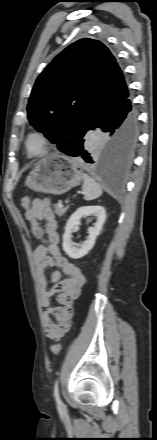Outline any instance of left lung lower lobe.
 <instances>
[{
	"label": "left lung lower lobe",
	"mask_w": 157,
	"mask_h": 440,
	"mask_svg": "<svg viewBox=\"0 0 157 440\" xmlns=\"http://www.w3.org/2000/svg\"><path fill=\"white\" fill-rule=\"evenodd\" d=\"M91 130L104 133L105 141L98 151H93L86 139L82 138L64 153L78 157L92 171L122 177L131 165L132 150L138 135V114L130 93L106 108Z\"/></svg>",
	"instance_id": "left-lung-lower-lobe-1"
}]
</instances>
